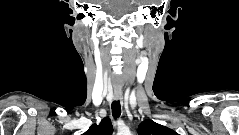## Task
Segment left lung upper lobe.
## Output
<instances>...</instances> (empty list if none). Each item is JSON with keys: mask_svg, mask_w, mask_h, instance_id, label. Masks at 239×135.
Wrapping results in <instances>:
<instances>
[{"mask_svg": "<svg viewBox=\"0 0 239 135\" xmlns=\"http://www.w3.org/2000/svg\"><path fill=\"white\" fill-rule=\"evenodd\" d=\"M139 135H178L174 130L152 120H144L138 127Z\"/></svg>", "mask_w": 239, "mask_h": 135, "instance_id": "left-lung-upper-lobe-1", "label": "left lung upper lobe"}]
</instances>
